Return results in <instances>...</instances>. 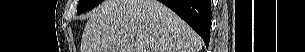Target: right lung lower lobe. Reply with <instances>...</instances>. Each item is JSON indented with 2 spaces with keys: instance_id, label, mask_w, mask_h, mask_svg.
<instances>
[{
  "instance_id": "1",
  "label": "right lung lower lobe",
  "mask_w": 305,
  "mask_h": 52,
  "mask_svg": "<svg viewBox=\"0 0 305 52\" xmlns=\"http://www.w3.org/2000/svg\"><path fill=\"white\" fill-rule=\"evenodd\" d=\"M187 22L208 47L211 26L210 0H159Z\"/></svg>"
}]
</instances>
